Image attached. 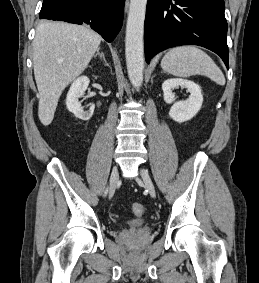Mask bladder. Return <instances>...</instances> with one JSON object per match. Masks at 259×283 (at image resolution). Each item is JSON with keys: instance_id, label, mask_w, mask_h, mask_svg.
I'll list each match as a JSON object with an SVG mask.
<instances>
[{"instance_id": "31cf9c89", "label": "bladder", "mask_w": 259, "mask_h": 283, "mask_svg": "<svg viewBox=\"0 0 259 283\" xmlns=\"http://www.w3.org/2000/svg\"><path fill=\"white\" fill-rule=\"evenodd\" d=\"M146 220L144 218H134L126 222L128 227L137 228L145 225Z\"/></svg>"}]
</instances>
